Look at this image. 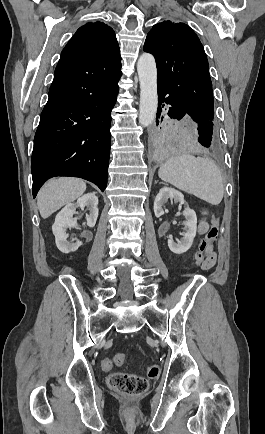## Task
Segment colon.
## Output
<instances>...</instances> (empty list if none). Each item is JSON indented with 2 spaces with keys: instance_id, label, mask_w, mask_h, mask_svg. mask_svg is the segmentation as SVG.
Segmentation results:
<instances>
[{
  "instance_id": "obj_1",
  "label": "colon",
  "mask_w": 265,
  "mask_h": 434,
  "mask_svg": "<svg viewBox=\"0 0 265 434\" xmlns=\"http://www.w3.org/2000/svg\"><path fill=\"white\" fill-rule=\"evenodd\" d=\"M220 225V216L215 215L212 218L211 228L205 234L201 241L199 250L195 254L196 264L201 268V261H204L205 255H211L205 253V248H210L211 241L216 240L218 235V229ZM125 363V357L123 354H116L112 360L104 359L101 361V368L103 370H110L114 364L123 365ZM146 375L149 379H156L161 375V369L156 365H149L146 367ZM108 385L117 392L124 394H143L149 389L148 380H143L142 376L136 373L118 372L110 375L107 379Z\"/></svg>"
}]
</instances>
